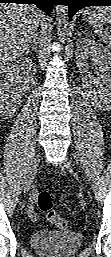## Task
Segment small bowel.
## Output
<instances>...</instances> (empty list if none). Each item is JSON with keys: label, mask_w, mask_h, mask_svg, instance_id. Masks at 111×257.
<instances>
[{"label": "small bowel", "mask_w": 111, "mask_h": 257, "mask_svg": "<svg viewBox=\"0 0 111 257\" xmlns=\"http://www.w3.org/2000/svg\"><path fill=\"white\" fill-rule=\"evenodd\" d=\"M28 215H29L31 220H36L37 217H38L37 214L35 213L34 208H33L32 205H30L29 208H28Z\"/></svg>", "instance_id": "1"}]
</instances>
